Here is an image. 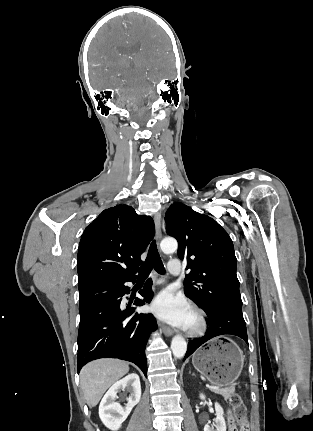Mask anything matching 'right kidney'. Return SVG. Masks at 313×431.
Masks as SVG:
<instances>
[{
  "label": "right kidney",
  "instance_id": "obj_1",
  "mask_svg": "<svg viewBox=\"0 0 313 431\" xmlns=\"http://www.w3.org/2000/svg\"><path fill=\"white\" fill-rule=\"evenodd\" d=\"M128 391L130 396L123 408L115 402L119 391ZM141 398L140 379L137 374H129L123 379L115 382L104 395L99 405V417L103 424L110 430H118L130 414L132 408L139 403Z\"/></svg>",
  "mask_w": 313,
  "mask_h": 431
}]
</instances>
